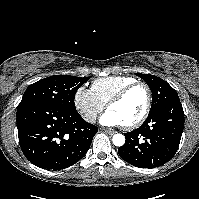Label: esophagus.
Masks as SVG:
<instances>
[{
    "mask_svg": "<svg viewBox=\"0 0 199 199\" xmlns=\"http://www.w3.org/2000/svg\"><path fill=\"white\" fill-rule=\"evenodd\" d=\"M106 133L113 135L115 133V131L111 130V129H103Z\"/></svg>",
    "mask_w": 199,
    "mask_h": 199,
    "instance_id": "34e87169",
    "label": "esophagus"
}]
</instances>
